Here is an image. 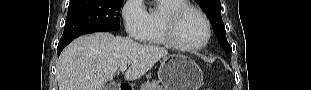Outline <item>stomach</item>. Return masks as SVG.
<instances>
[{
	"label": "stomach",
	"instance_id": "obj_1",
	"mask_svg": "<svg viewBox=\"0 0 311 90\" xmlns=\"http://www.w3.org/2000/svg\"><path fill=\"white\" fill-rule=\"evenodd\" d=\"M158 78L165 90H198L203 82L199 66L182 54L166 56L160 64Z\"/></svg>",
	"mask_w": 311,
	"mask_h": 90
}]
</instances>
